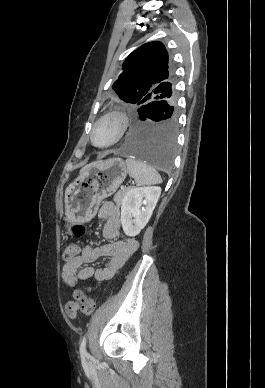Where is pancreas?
Returning <instances> with one entry per match:
<instances>
[{
    "instance_id": "cf45deb5",
    "label": "pancreas",
    "mask_w": 265,
    "mask_h": 388,
    "mask_svg": "<svg viewBox=\"0 0 265 388\" xmlns=\"http://www.w3.org/2000/svg\"><path fill=\"white\" fill-rule=\"evenodd\" d=\"M129 190H130V188H125V190H119V192H117V194H115L114 202H115L116 206H121L122 200H123L125 194H127V192H129Z\"/></svg>"
}]
</instances>
